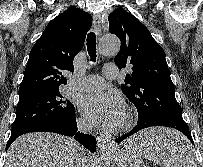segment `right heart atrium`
<instances>
[{"label": "right heart atrium", "instance_id": "1", "mask_svg": "<svg viewBox=\"0 0 203 167\" xmlns=\"http://www.w3.org/2000/svg\"><path fill=\"white\" fill-rule=\"evenodd\" d=\"M78 125L82 129H87L89 127L88 122L85 119H83V118L78 120Z\"/></svg>", "mask_w": 203, "mask_h": 167}]
</instances>
